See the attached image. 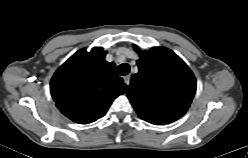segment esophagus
<instances>
[{"mask_svg": "<svg viewBox=\"0 0 248 158\" xmlns=\"http://www.w3.org/2000/svg\"><path fill=\"white\" fill-rule=\"evenodd\" d=\"M123 80L125 82L126 85H129L130 84V76L129 75H126L123 77Z\"/></svg>", "mask_w": 248, "mask_h": 158, "instance_id": "1", "label": "esophagus"}]
</instances>
